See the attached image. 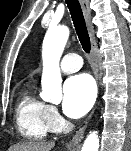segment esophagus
<instances>
[{"instance_id":"obj_1","label":"esophagus","mask_w":131,"mask_h":151,"mask_svg":"<svg viewBox=\"0 0 131 151\" xmlns=\"http://www.w3.org/2000/svg\"><path fill=\"white\" fill-rule=\"evenodd\" d=\"M81 7L83 10L84 18L86 21L90 41H91V62H92V69L95 76V79L98 83V59H97V46H96V40H95V32L94 27L91 21V10L89 8V0H80ZM87 124L83 125L73 136V138L70 141L71 146L78 145L83 136L86 129Z\"/></svg>"}]
</instances>
